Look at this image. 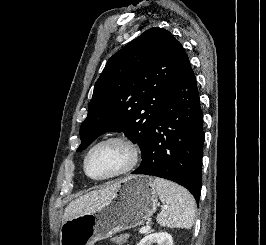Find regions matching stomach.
Segmentation results:
<instances>
[{
	"label": "stomach",
	"mask_w": 266,
	"mask_h": 245,
	"mask_svg": "<svg viewBox=\"0 0 266 245\" xmlns=\"http://www.w3.org/2000/svg\"><path fill=\"white\" fill-rule=\"evenodd\" d=\"M157 207V191L151 177L127 175L121 187L95 213L68 219L62 225L60 245H94L119 231L134 229L152 217Z\"/></svg>",
	"instance_id": "obj_1"
}]
</instances>
